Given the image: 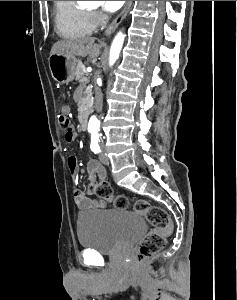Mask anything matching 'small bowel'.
<instances>
[{
  "label": "small bowel",
  "mask_w": 237,
  "mask_h": 300,
  "mask_svg": "<svg viewBox=\"0 0 237 300\" xmlns=\"http://www.w3.org/2000/svg\"><path fill=\"white\" fill-rule=\"evenodd\" d=\"M70 110L67 106L62 107V113L67 115ZM68 169L70 177L73 184V193L74 199L77 206L81 209L90 210L96 208L106 207V202L98 199L91 198L90 195H93L95 192V180H104L105 179V170L102 165L98 162L92 160L88 163V174H89V188L87 191H83L78 186V163L77 158L74 155L68 157Z\"/></svg>",
  "instance_id": "small-bowel-1"
}]
</instances>
